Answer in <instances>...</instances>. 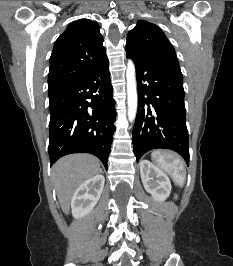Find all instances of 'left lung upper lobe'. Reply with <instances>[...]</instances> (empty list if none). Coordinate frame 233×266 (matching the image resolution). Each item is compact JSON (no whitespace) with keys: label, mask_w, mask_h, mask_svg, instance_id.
<instances>
[{"label":"left lung upper lobe","mask_w":233,"mask_h":266,"mask_svg":"<svg viewBox=\"0 0 233 266\" xmlns=\"http://www.w3.org/2000/svg\"><path fill=\"white\" fill-rule=\"evenodd\" d=\"M126 50L157 59L177 60L172 44L155 24L140 21L127 35Z\"/></svg>","instance_id":"left-lung-upper-lobe-1"}]
</instances>
